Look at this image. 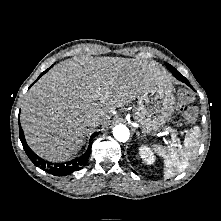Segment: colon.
<instances>
[{"label": "colon", "mask_w": 221, "mask_h": 221, "mask_svg": "<svg viewBox=\"0 0 221 221\" xmlns=\"http://www.w3.org/2000/svg\"><path fill=\"white\" fill-rule=\"evenodd\" d=\"M191 100V96L187 91H181L179 93V104L180 109L186 116H192L194 114V111L187 107V103H189Z\"/></svg>", "instance_id": "colon-1"}]
</instances>
